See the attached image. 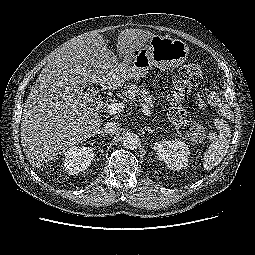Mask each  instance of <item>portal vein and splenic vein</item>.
Returning a JSON list of instances; mask_svg holds the SVG:
<instances>
[{
  "instance_id": "18ae733b",
  "label": "portal vein and splenic vein",
  "mask_w": 255,
  "mask_h": 255,
  "mask_svg": "<svg viewBox=\"0 0 255 255\" xmlns=\"http://www.w3.org/2000/svg\"><path fill=\"white\" fill-rule=\"evenodd\" d=\"M126 107V104L125 103H110L108 106H107V112L110 113V114H117V113H121L123 112L124 108ZM141 107V110L142 112L147 115V116H150L151 114V111H150V108L147 106V105H142L140 106Z\"/></svg>"
}]
</instances>
